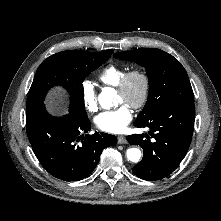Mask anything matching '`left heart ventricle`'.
Instances as JSON below:
<instances>
[{"label":"left heart ventricle","mask_w":221,"mask_h":221,"mask_svg":"<svg viewBox=\"0 0 221 221\" xmlns=\"http://www.w3.org/2000/svg\"><path fill=\"white\" fill-rule=\"evenodd\" d=\"M141 90H142L141 81L139 79L133 80V82L131 83V86L129 88V91L126 95L118 93V95H117L118 102L119 103H126L129 105L130 103L136 101L139 98V96L141 94Z\"/></svg>","instance_id":"obj_1"}]
</instances>
